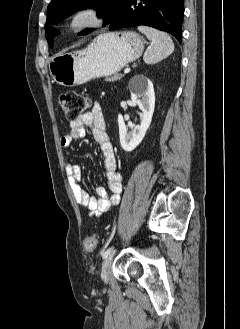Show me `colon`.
Wrapping results in <instances>:
<instances>
[{
    "mask_svg": "<svg viewBox=\"0 0 240 329\" xmlns=\"http://www.w3.org/2000/svg\"><path fill=\"white\" fill-rule=\"evenodd\" d=\"M60 107L63 110L64 117L68 120H75L79 114L90 105V99L83 94L74 91L61 92L58 98ZM84 246L87 251H94L98 246V239L95 234L88 235L84 240Z\"/></svg>",
    "mask_w": 240,
    "mask_h": 329,
    "instance_id": "obj_1",
    "label": "colon"
}]
</instances>
